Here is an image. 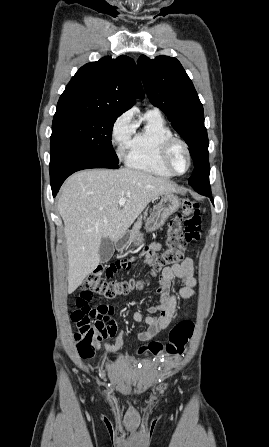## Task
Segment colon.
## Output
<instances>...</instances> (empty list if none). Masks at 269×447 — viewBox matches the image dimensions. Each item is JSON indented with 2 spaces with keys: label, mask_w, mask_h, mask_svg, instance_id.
<instances>
[{
  "label": "colon",
  "mask_w": 269,
  "mask_h": 447,
  "mask_svg": "<svg viewBox=\"0 0 269 447\" xmlns=\"http://www.w3.org/2000/svg\"><path fill=\"white\" fill-rule=\"evenodd\" d=\"M201 224L199 204L194 201L184 202L182 212L175 215L168 224L164 238L165 249L159 254L144 253L153 270L158 272L179 263L186 244L200 239ZM128 264L127 257H120L118 262H108L106 267H117L120 270L121 266ZM133 285L134 282L108 279L100 272L91 273L86 277L83 282L84 294L78 298L77 308L72 311V319L77 326L74 336L81 357L91 358L99 349L101 341L104 338L114 339L115 331L119 328L117 322H109L108 314L113 310L94 300V295L113 297L126 293ZM193 332V322L181 320L171 328L166 343L153 342L149 346H142L138 349V354H181Z\"/></svg>",
  "instance_id": "1"
}]
</instances>
